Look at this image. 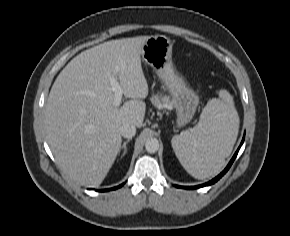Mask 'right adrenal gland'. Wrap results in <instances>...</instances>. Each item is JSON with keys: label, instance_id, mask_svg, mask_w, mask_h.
Returning <instances> with one entry per match:
<instances>
[{"label": "right adrenal gland", "instance_id": "2a0ac1e0", "mask_svg": "<svg viewBox=\"0 0 290 236\" xmlns=\"http://www.w3.org/2000/svg\"><path fill=\"white\" fill-rule=\"evenodd\" d=\"M131 139H127L126 141L123 142L122 146L120 147V150H123L121 154V158L127 153V144L130 142Z\"/></svg>", "mask_w": 290, "mask_h": 236}]
</instances>
